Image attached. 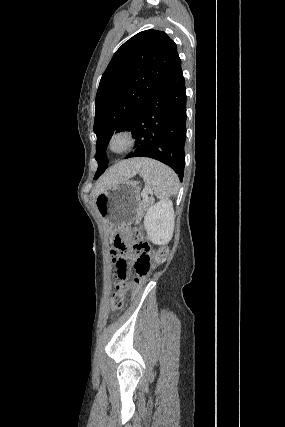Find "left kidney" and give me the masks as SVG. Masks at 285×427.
I'll return each instance as SVG.
<instances>
[{
  "label": "left kidney",
  "mask_w": 285,
  "mask_h": 427,
  "mask_svg": "<svg viewBox=\"0 0 285 427\" xmlns=\"http://www.w3.org/2000/svg\"><path fill=\"white\" fill-rule=\"evenodd\" d=\"M174 220L171 200H161L148 209L144 217V226L152 243L156 245L169 243L173 236Z\"/></svg>",
  "instance_id": "left-kidney-1"
}]
</instances>
